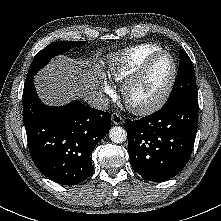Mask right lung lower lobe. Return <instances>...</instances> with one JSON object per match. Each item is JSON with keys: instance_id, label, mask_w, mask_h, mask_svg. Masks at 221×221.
<instances>
[{"instance_id": "1", "label": "right lung lower lobe", "mask_w": 221, "mask_h": 221, "mask_svg": "<svg viewBox=\"0 0 221 221\" xmlns=\"http://www.w3.org/2000/svg\"><path fill=\"white\" fill-rule=\"evenodd\" d=\"M22 102L29 151L39 171L63 185L86 180L93 172L90 155L110 130V113L79 101L44 105L33 79L24 83Z\"/></svg>"}]
</instances>
